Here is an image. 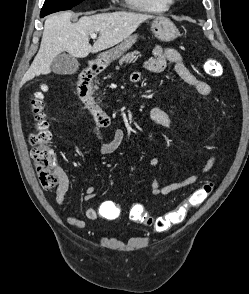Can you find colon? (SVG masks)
I'll use <instances>...</instances> for the list:
<instances>
[{"instance_id": "colon-1", "label": "colon", "mask_w": 249, "mask_h": 294, "mask_svg": "<svg viewBox=\"0 0 249 294\" xmlns=\"http://www.w3.org/2000/svg\"><path fill=\"white\" fill-rule=\"evenodd\" d=\"M203 69L211 77H220L222 74L221 66L211 59L204 61ZM47 89V86L43 85L39 91L34 93L30 101V113L33 125V132L30 135V144L33 147L31 155L39 182L42 187L51 189L62 183L63 173L57 167L56 153L50 146L51 133L48 130V123L44 113V93ZM213 189V182L208 181L204 183L175 209L156 218L152 217L143 205L136 203L131 207L129 217L134 222L152 227L158 232H163L183 222L188 211L203 203L212 193ZM110 216L112 218L118 217V208L112 209L110 211Z\"/></svg>"}]
</instances>
